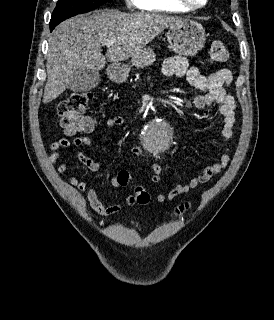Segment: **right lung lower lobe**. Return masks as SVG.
I'll return each instance as SVG.
<instances>
[{
    "mask_svg": "<svg viewBox=\"0 0 274 320\" xmlns=\"http://www.w3.org/2000/svg\"><path fill=\"white\" fill-rule=\"evenodd\" d=\"M57 26V25H56ZM56 26H51L50 25V31H52Z\"/></svg>",
    "mask_w": 274,
    "mask_h": 320,
    "instance_id": "right-lung-lower-lobe-1",
    "label": "right lung lower lobe"
}]
</instances>
